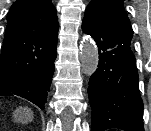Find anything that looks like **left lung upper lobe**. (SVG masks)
I'll list each match as a JSON object with an SVG mask.
<instances>
[{
	"label": "left lung upper lobe",
	"instance_id": "left-lung-upper-lobe-1",
	"mask_svg": "<svg viewBox=\"0 0 151 131\" xmlns=\"http://www.w3.org/2000/svg\"><path fill=\"white\" fill-rule=\"evenodd\" d=\"M93 12H101L107 16H116L118 19L125 20L130 25L123 7V0H91L85 14Z\"/></svg>",
	"mask_w": 151,
	"mask_h": 131
}]
</instances>
